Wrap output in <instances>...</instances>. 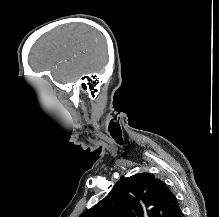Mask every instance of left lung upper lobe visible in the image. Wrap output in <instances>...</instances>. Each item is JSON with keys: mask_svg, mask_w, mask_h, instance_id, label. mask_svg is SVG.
Wrapping results in <instances>:
<instances>
[{"mask_svg": "<svg viewBox=\"0 0 219 217\" xmlns=\"http://www.w3.org/2000/svg\"><path fill=\"white\" fill-rule=\"evenodd\" d=\"M175 195L150 173L121 177L110 193L80 217H175Z\"/></svg>", "mask_w": 219, "mask_h": 217, "instance_id": "obj_1", "label": "left lung upper lobe"}]
</instances>
